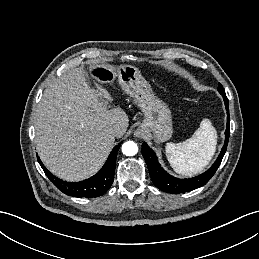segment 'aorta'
<instances>
[{"label":"aorta","instance_id":"1","mask_svg":"<svg viewBox=\"0 0 259 259\" xmlns=\"http://www.w3.org/2000/svg\"><path fill=\"white\" fill-rule=\"evenodd\" d=\"M138 152V146L133 141H127L122 145V153L126 156H134Z\"/></svg>","mask_w":259,"mask_h":259}]
</instances>
